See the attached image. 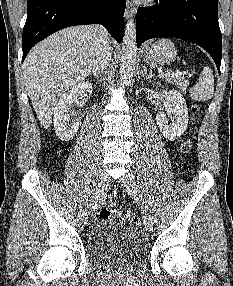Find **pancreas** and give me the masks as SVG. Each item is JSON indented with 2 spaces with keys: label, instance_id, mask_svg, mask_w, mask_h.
<instances>
[{
  "label": "pancreas",
  "instance_id": "pancreas-1",
  "mask_svg": "<svg viewBox=\"0 0 233 286\" xmlns=\"http://www.w3.org/2000/svg\"><path fill=\"white\" fill-rule=\"evenodd\" d=\"M169 73H173L171 70H167L166 71V75H165V79L168 82H171L173 84H175L177 86V88H179L182 91H186L189 82L184 78V76L180 75V76H169Z\"/></svg>",
  "mask_w": 233,
  "mask_h": 286
}]
</instances>
